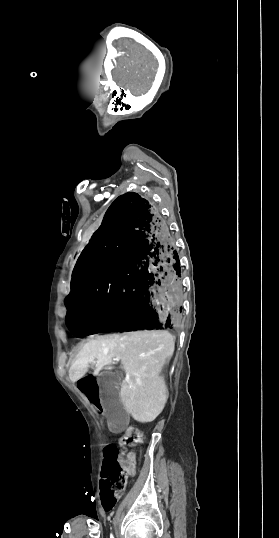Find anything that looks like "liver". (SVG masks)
<instances>
[{
  "label": "liver",
  "mask_w": 279,
  "mask_h": 538,
  "mask_svg": "<svg viewBox=\"0 0 279 538\" xmlns=\"http://www.w3.org/2000/svg\"><path fill=\"white\" fill-rule=\"evenodd\" d=\"M174 338L166 330L125 332L100 336L87 342L70 368V376L80 380L94 360L93 376L119 358L126 374L121 386V402L137 422H153L161 414L168 398L161 372L172 358Z\"/></svg>",
  "instance_id": "1"
}]
</instances>
